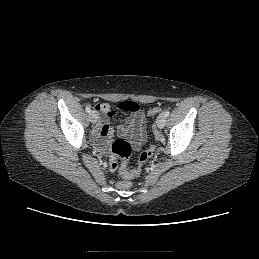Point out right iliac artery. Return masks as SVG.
Returning a JSON list of instances; mask_svg holds the SVG:
<instances>
[{
	"label": "right iliac artery",
	"instance_id": "82829eb1",
	"mask_svg": "<svg viewBox=\"0 0 259 259\" xmlns=\"http://www.w3.org/2000/svg\"><path fill=\"white\" fill-rule=\"evenodd\" d=\"M86 112L90 113L91 112V109L89 106L86 107Z\"/></svg>",
	"mask_w": 259,
	"mask_h": 259
}]
</instances>
